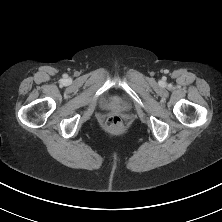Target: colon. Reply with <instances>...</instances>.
I'll use <instances>...</instances> for the list:
<instances>
[{"label":"colon","mask_w":222,"mask_h":222,"mask_svg":"<svg viewBox=\"0 0 222 222\" xmlns=\"http://www.w3.org/2000/svg\"><path fill=\"white\" fill-rule=\"evenodd\" d=\"M106 124L110 129L119 130L123 126V121L120 116L113 115L107 119Z\"/></svg>","instance_id":"obj_1"}]
</instances>
